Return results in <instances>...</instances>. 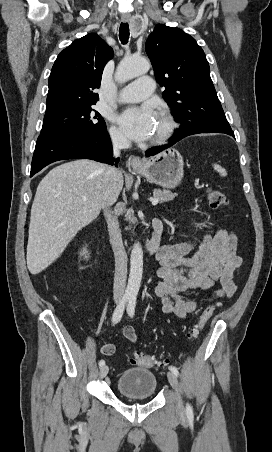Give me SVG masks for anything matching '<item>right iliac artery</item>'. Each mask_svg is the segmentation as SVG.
<instances>
[{"label":"right iliac artery","mask_w":272,"mask_h":452,"mask_svg":"<svg viewBox=\"0 0 272 452\" xmlns=\"http://www.w3.org/2000/svg\"><path fill=\"white\" fill-rule=\"evenodd\" d=\"M129 297L128 296H124L122 298V300L119 302V304L117 305L114 313H113V317H112V322L113 324L118 323L123 315L124 309H125V304L128 301ZM103 365H105V361L104 360H100L99 361V366L102 367Z\"/></svg>","instance_id":"right-iliac-artery-1"}]
</instances>
